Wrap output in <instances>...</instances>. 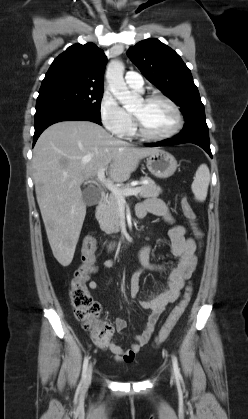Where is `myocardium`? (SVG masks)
<instances>
[{"label": "myocardium", "mask_w": 248, "mask_h": 419, "mask_svg": "<svg viewBox=\"0 0 248 419\" xmlns=\"http://www.w3.org/2000/svg\"><path fill=\"white\" fill-rule=\"evenodd\" d=\"M142 100L146 103L158 101V100L167 103L175 113L176 123L169 132L165 134H161V135H154L146 131L141 119L137 115L132 114L135 132L137 133L138 136L147 140L163 141V140H167L174 137L182 130L183 125H184V118H183L180 107L177 105L175 101H173L171 98L163 94H151L144 97Z\"/></svg>", "instance_id": "f54148a6"}]
</instances>
